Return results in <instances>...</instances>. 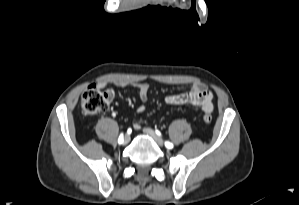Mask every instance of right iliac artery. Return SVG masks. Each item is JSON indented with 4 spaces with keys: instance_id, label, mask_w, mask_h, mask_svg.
Instances as JSON below:
<instances>
[{
    "instance_id": "1",
    "label": "right iliac artery",
    "mask_w": 299,
    "mask_h": 205,
    "mask_svg": "<svg viewBox=\"0 0 299 205\" xmlns=\"http://www.w3.org/2000/svg\"><path fill=\"white\" fill-rule=\"evenodd\" d=\"M123 142V134L119 136L118 143L121 144Z\"/></svg>"
}]
</instances>
